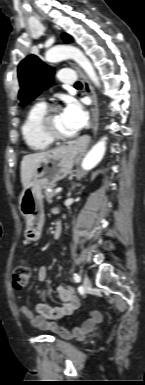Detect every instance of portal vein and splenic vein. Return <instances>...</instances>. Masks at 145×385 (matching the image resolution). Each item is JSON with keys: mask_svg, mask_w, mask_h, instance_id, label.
I'll return each mask as SVG.
<instances>
[{"mask_svg": "<svg viewBox=\"0 0 145 385\" xmlns=\"http://www.w3.org/2000/svg\"><path fill=\"white\" fill-rule=\"evenodd\" d=\"M62 191V188H57L56 190H55V193H60Z\"/></svg>", "mask_w": 145, "mask_h": 385, "instance_id": "1", "label": "portal vein and splenic vein"}]
</instances>
